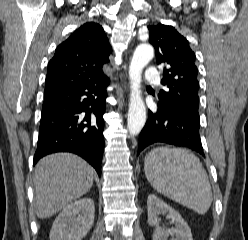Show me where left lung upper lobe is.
Instances as JSON below:
<instances>
[{
	"label": "left lung upper lobe",
	"mask_w": 248,
	"mask_h": 240,
	"mask_svg": "<svg viewBox=\"0 0 248 240\" xmlns=\"http://www.w3.org/2000/svg\"><path fill=\"white\" fill-rule=\"evenodd\" d=\"M149 42L156 51L157 64H162L164 77L161 81L169 90L158 94L159 104L164 107L199 108L198 70L195 53L186 38L174 27L164 24L148 26Z\"/></svg>",
	"instance_id": "left-lung-upper-lobe-1"
}]
</instances>
